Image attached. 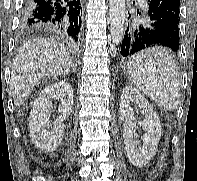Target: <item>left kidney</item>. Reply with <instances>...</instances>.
<instances>
[{"label":"left kidney","instance_id":"obj_1","mask_svg":"<svg viewBox=\"0 0 197 181\" xmlns=\"http://www.w3.org/2000/svg\"><path fill=\"white\" fill-rule=\"evenodd\" d=\"M134 101L141 109V113L145 115V119L138 123L134 117L133 109L130 108V104ZM119 114L120 119L125 122L123 138L128 159L134 166L143 167L155 155L157 150L161 137L159 117L148 100L131 85L123 89ZM137 124L145 131L142 137L143 146H140L135 140Z\"/></svg>","mask_w":197,"mask_h":181}]
</instances>
